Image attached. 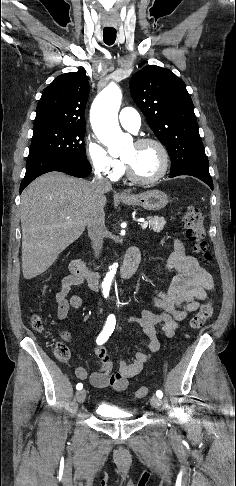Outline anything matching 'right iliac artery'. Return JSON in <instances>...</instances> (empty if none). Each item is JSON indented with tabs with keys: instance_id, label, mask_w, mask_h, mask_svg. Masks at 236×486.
Returning a JSON list of instances; mask_svg holds the SVG:
<instances>
[{
	"instance_id": "obj_1",
	"label": "right iliac artery",
	"mask_w": 236,
	"mask_h": 486,
	"mask_svg": "<svg viewBox=\"0 0 236 486\" xmlns=\"http://www.w3.org/2000/svg\"><path fill=\"white\" fill-rule=\"evenodd\" d=\"M115 324H116L115 316L113 314H110L107 318V321L105 323V326H104L102 332L97 337L96 342H97L98 345H102L103 343H105L108 340V338L111 336V334L114 331ZM76 388H77V390H81L83 388V385L81 383H78L76 385Z\"/></svg>"
}]
</instances>
